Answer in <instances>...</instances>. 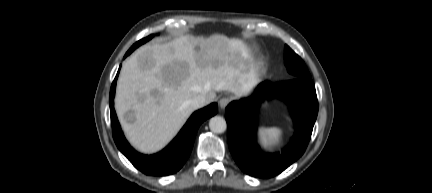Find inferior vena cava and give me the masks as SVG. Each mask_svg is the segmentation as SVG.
<instances>
[{"label": "inferior vena cava", "instance_id": "inferior-vena-cava-1", "mask_svg": "<svg viewBox=\"0 0 432 193\" xmlns=\"http://www.w3.org/2000/svg\"><path fill=\"white\" fill-rule=\"evenodd\" d=\"M208 102L207 98L203 95H198L190 102V106L195 110L204 106Z\"/></svg>", "mask_w": 432, "mask_h": 193}]
</instances>
